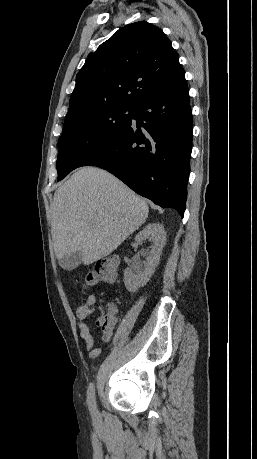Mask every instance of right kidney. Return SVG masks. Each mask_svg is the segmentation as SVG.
Here are the masks:
<instances>
[{
    "label": "right kidney",
    "mask_w": 257,
    "mask_h": 459,
    "mask_svg": "<svg viewBox=\"0 0 257 459\" xmlns=\"http://www.w3.org/2000/svg\"><path fill=\"white\" fill-rule=\"evenodd\" d=\"M135 240L137 242L149 240L152 245L144 263V269L140 266H134V268H127L124 271V284L129 292H135L138 288L146 285L154 274L160 261L162 249L166 244V233L162 224L150 223L136 235Z\"/></svg>",
    "instance_id": "obj_1"
}]
</instances>
